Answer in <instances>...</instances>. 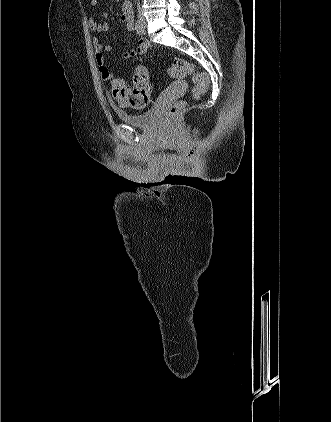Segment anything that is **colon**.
<instances>
[{"label":"colon","mask_w":331,"mask_h":422,"mask_svg":"<svg viewBox=\"0 0 331 422\" xmlns=\"http://www.w3.org/2000/svg\"><path fill=\"white\" fill-rule=\"evenodd\" d=\"M168 73L174 78H182L188 75L192 76L193 88L191 97L193 99L201 97L208 89V75L196 70L194 64L186 60L176 59L168 68ZM133 78V86L125 84L120 79H114L112 81L111 91L118 101H124L129 106L135 108H142L147 105L151 93V85L146 68L143 66L137 67ZM185 104V101L176 102L167 110L166 116L169 119L175 118L183 110Z\"/></svg>","instance_id":"1"}]
</instances>
